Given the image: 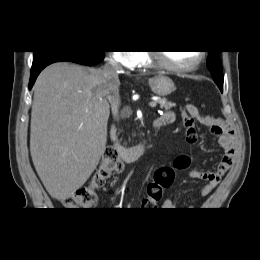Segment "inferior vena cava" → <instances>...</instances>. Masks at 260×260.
Returning a JSON list of instances; mask_svg holds the SVG:
<instances>
[{
  "mask_svg": "<svg viewBox=\"0 0 260 260\" xmlns=\"http://www.w3.org/2000/svg\"><path fill=\"white\" fill-rule=\"evenodd\" d=\"M119 70H121V66L114 59H109V61L103 67V71L106 77L109 78L113 86L114 96H113L111 108H112L113 116L115 118H117L118 116V107L120 104V97L118 93V88L120 85L118 79Z\"/></svg>",
  "mask_w": 260,
  "mask_h": 260,
  "instance_id": "602c4592",
  "label": "inferior vena cava"
}]
</instances>
